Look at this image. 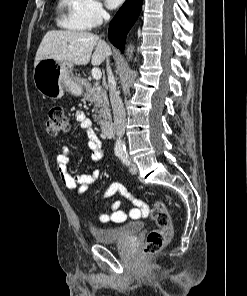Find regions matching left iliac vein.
Instances as JSON below:
<instances>
[{
	"label": "left iliac vein",
	"instance_id": "obj_1",
	"mask_svg": "<svg viewBox=\"0 0 247 296\" xmlns=\"http://www.w3.org/2000/svg\"><path fill=\"white\" fill-rule=\"evenodd\" d=\"M129 171H130V173H132V174H136L137 171H138V168H137V166H136L134 163H132V164L130 165V167H129Z\"/></svg>",
	"mask_w": 247,
	"mask_h": 296
}]
</instances>
